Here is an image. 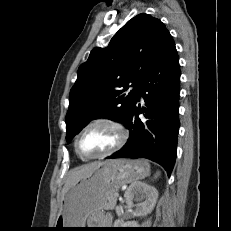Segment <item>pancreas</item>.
<instances>
[{
  "label": "pancreas",
  "instance_id": "obj_1",
  "mask_svg": "<svg viewBox=\"0 0 231 231\" xmlns=\"http://www.w3.org/2000/svg\"><path fill=\"white\" fill-rule=\"evenodd\" d=\"M116 195H117V194H114V195L110 198L108 208H114V206H115V204H116Z\"/></svg>",
  "mask_w": 231,
  "mask_h": 231
}]
</instances>
